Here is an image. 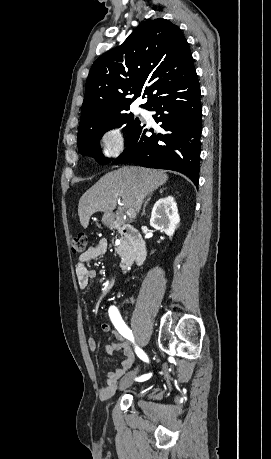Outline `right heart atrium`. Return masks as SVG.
Here are the masks:
<instances>
[{"mask_svg":"<svg viewBox=\"0 0 271 459\" xmlns=\"http://www.w3.org/2000/svg\"><path fill=\"white\" fill-rule=\"evenodd\" d=\"M97 145L101 154L108 159L118 157L126 147V135L120 125H109L97 135Z\"/></svg>","mask_w":271,"mask_h":459,"instance_id":"d8ad5b80","label":"right heart atrium"}]
</instances>
